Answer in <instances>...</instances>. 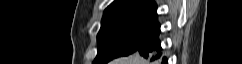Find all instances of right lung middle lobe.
Instances as JSON below:
<instances>
[{
	"mask_svg": "<svg viewBox=\"0 0 242 64\" xmlns=\"http://www.w3.org/2000/svg\"><path fill=\"white\" fill-rule=\"evenodd\" d=\"M159 30L156 13H121L103 18L93 64H106L116 57L138 51Z\"/></svg>",
	"mask_w": 242,
	"mask_h": 64,
	"instance_id": "dd1d6c3e",
	"label": "right lung middle lobe"
}]
</instances>
